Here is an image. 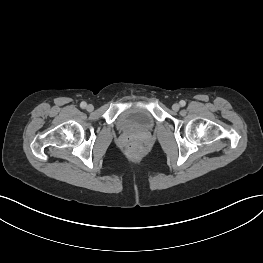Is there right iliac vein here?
<instances>
[{"label": "right iliac vein", "instance_id": "1", "mask_svg": "<svg viewBox=\"0 0 263 263\" xmlns=\"http://www.w3.org/2000/svg\"><path fill=\"white\" fill-rule=\"evenodd\" d=\"M86 109H87V111L91 112V111H93L94 107H93V105L89 104V105H87Z\"/></svg>", "mask_w": 263, "mask_h": 263}]
</instances>
